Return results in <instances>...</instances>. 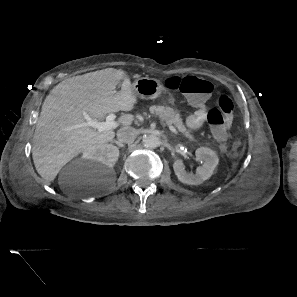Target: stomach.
Returning a JSON list of instances; mask_svg holds the SVG:
<instances>
[{
    "label": "stomach",
    "mask_w": 297,
    "mask_h": 297,
    "mask_svg": "<svg viewBox=\"0 0 297 297\" xmlns=\"http://www.w3.org/2000/svg\"><path fill=\"white\" fill-rule=\"evenodd\" d=\"M163 90L159 80L149 77L138 78L132 84L133 93L142 99H155L162 94Z\"/></svg>",
    "instance_id": "1"
}]
</instances>
